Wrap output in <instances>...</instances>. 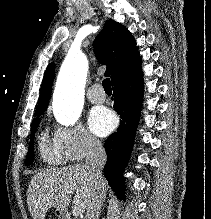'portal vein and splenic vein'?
<instances>
[{
	"instance_id": "obj_1",
	"label": "portal vein and splenic vein",
	"mask_w": 211,
	"mask_h": 219,
	"mask_svg": "<svg viewBox=\"0 0 211 219\" xmlns=\"http://www.w3.org/2000/svg\"><path fill=\"white\" fill-rule=\"evenodd\" d=\"M82 210L79 209L78 207H75L73 209V215L78 216L79 214H81Z\"/></svg>"
}]
</instances>
